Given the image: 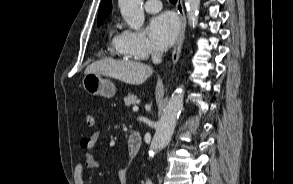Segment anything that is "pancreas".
Here are the masks:
<instances>
[{"instance_id": "cf45deb5", "label": "pancreas", "mask_w": 293, "mask_h": 184, "mask_svg": "<svg viewBox=\"0 0 293 184\" xmlns=\"http://www.w3.org/2000/svg\"><path fill=\"white\" fill-rule=\"evenodd\" d=\"M139 102V99L136 95L129 93L125 98H124V103L125 106L130 107L131 105H135Z\"/></svg>"}]
</instances>
